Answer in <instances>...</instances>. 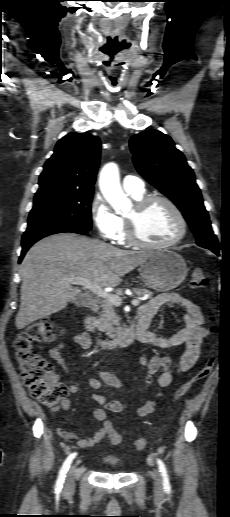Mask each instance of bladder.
Wrapping results in <instances>:
<instances>
[{
	"label": "bladder",
	"mask_w": 230,
	"mask_h": 517,
	"mask_svg": "<svg viewBox=\"0 0 230 517\" xmlns=\"http://www.w3.org/2000/svg\"><path fill=\"white\" fill-rule=\"evenodd\" d=\"M104 463L108 466H116L117 465V462L112 459V458H109V457H105L104 458Z\"/></svg>",
	"instance_id": "bladder-1"
}]
</instances>
